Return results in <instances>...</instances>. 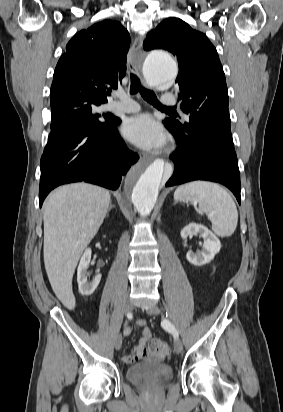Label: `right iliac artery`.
Wrapping results in <instances>:
<instances>
[{"label": "right iliac artery", "mask_w": 283, "mask_h": 412, "mask_svg": "<svg viewBox=\"0 0 283 412\" xmlns=\"http://www.w3.org/2000/svg\"><path fill=\"white\" fill-rule=\"evenodd\" d=\"M127 316L129 317V316H131V314H130V313H128V315H127Z\"/></svg>", "instance_id": "right-iliac-artery-1"}]
</instances>
